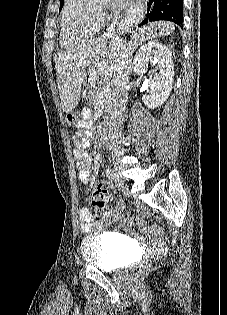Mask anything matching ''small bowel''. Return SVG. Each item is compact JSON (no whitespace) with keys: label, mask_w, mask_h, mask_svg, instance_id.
Segmentation results:
<instances>
[{"label":"small bowel","mask_w":227,"mask_h":315,"mask_svg":"<svg viewBox=\"0 0 227 315\" xmlns=\"http://www.w3.org/2000/svg\"><path fill=\"white\" fill-rule=\"evenodd\" d=\"M90 114L88 111H84L83 120L79 124L77 130L72 135L73 152L76 160L77 168L79 169V179L84 184L89 183L91 178V170L89 166V158L86 153V149L89 146L90 136ZM125 209V203L119 200L115 203V206L111 209L110 219L108 223H101L94 218L91 209L88 206H84L79 211L80 230L84 233H99L103 226L115 221L119 218L120 212ZM139 229L149 236H155L161 233V229L158 227L151 228L145 225V223H139ZM158 248L164 247L163 241H157Z\"/></svg>","instance_id":"small-bowel-1"}]
</instances>
